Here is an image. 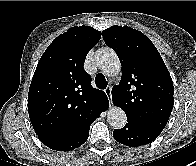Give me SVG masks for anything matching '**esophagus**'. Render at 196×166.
<instances>
[{"mask_svg":"<svg viewBox=\"0 0 196 166\" xmlns=\"http://www.w3.org/2000/svg\"><path fill=\"white\" fill-rule=\"evenodd\" d=\"M111 87L109 86V87H107L105 90H104V92L106 93V95H107V97H108V99H109V102H110V104H112V95H111Z\"/></svg>","mask_w":196,"mask_h":166,"instance_id":"esophagus-1","label":"esophagus"}]
</instances>
